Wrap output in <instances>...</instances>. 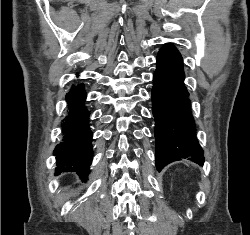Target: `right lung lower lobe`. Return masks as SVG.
I'll list each match as a JSON object with an SVG mask.
<instances>
[{
  "label": "right lung lower lobe",
  "instance_id": "98d812e1",
  "mask_svg": "<svg viewBox=\"0 0 250 235\" xmlns=\"http://www.w3.org/2000/svg\"><path fill=\"white\" fill-rule=\"evenodd\" d=\"M86 92L83 83L73 85L66 94L69 111L62 124L64 140L54 150L56 155V174L76 172L86 179L92 162V133L89 128V112L84 107Z\"/></svg>",
  "mask_w": 250,
  "mask_h": 235
}]
</instances>
